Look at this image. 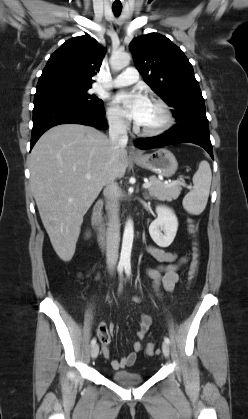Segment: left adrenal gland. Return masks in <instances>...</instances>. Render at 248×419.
<instances>
[{
	"label": "left adrenal gland",
	"mask_w": 248,
	"mask_h": 419,
	"mask_svg": "<svg viewBox=\"0 0 248 419\" xmlns=\"http://www.w3.org/2000/svg\"><path fill=\"white\" fill-rule=\"evenodd\" d=\"M144 198H145V199H149V197H148V196H144Z\"/></svg>",
	"instance_id": "obj_1"
}]
</instances>
